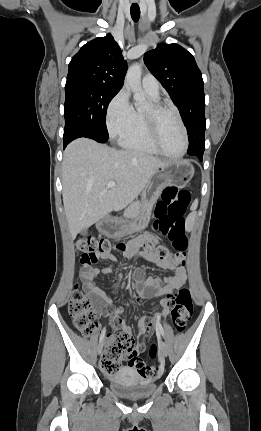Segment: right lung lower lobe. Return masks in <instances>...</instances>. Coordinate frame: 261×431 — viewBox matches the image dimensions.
Returning <instances> with one entry per match:
<instances>
[{"label": "right lung lower lobe", "mask_w": 261, "mask_h": 431, "mask_svg": "<svg viewBox=\"0 0 261 431\" xmlns=\"http://www.w3.org/2000/svg\"><path fill=\"white\" fill-rule=\"evenodd\" d=\"M72 140V137L69 138L68 140L64 139V148L67 146V144H69Z\"/></svg>", "instance_id": "obj_1"}]
</instances>
